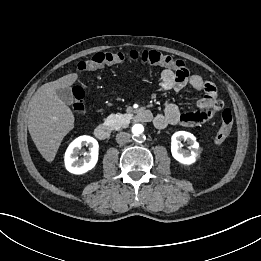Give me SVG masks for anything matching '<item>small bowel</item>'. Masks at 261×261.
Segmentation results:
<instances>
[{
  "label": "small bowel",
  "mask_w": 261,
  "mask_h": 261,
  "mask_svg": "<svg viewBox=\"0 0 261 261\" xmlns=\"http://www.w3.org/2000/svg\"><path fill=\"white\" fill-rule=\"evenodd\" d=\"M187 85L202 92L203 97L197 102L199 111L183 113L173 103H167L164 111L155 116L153 123L157 129H165L170 125L196 126L212 120L223 108V102L217 95L215 85L198 74L189 75L187 69L173 71L164 69L160 74V90L179 93Z\"/></svg>",
  "instance_id": "c3829d8e"
}]
</instances>
